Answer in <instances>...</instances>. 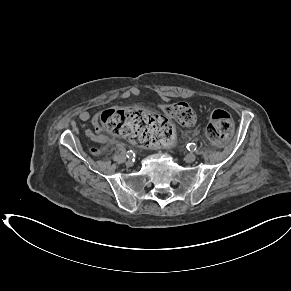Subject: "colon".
Returning <instances> with one entry per match:
<instances>
[{
    "label": "colon",
    "mask_w": 291,
    "mask_h": 291,
    "mask_svg": "<svg viewBox=\"0 0 291 291\" xmlns=\"http://www.w3.org/2000/svg\"><path fill=\"white\" fill-rule=\"evenodd\" d=\"M167 114L185 126L196 121L195 111L185 102L170 104L167 107ZM100 123L107 132L125 137L142 147L163 146L174 137V127L166 117L141 108L105 110L100 115ZM233 129L234 121L227 111L222 109L212 111L207 137L213 146L223 145Z\"/></svg>",
    "instance_id": "5ec220e1"
}]
</instances>
